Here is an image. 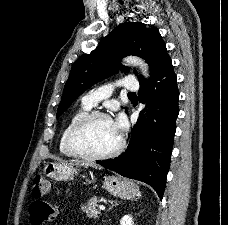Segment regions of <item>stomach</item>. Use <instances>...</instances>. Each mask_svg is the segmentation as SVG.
<instances>
[{
	"instance_id": "0dacf381",
	"label": "stomach",
	"mask_w": 228,
	"mask_h": 225,
	"mask_svg": "<svg viewBox=\"0 0 228 225\" xmlns=\"http://www.w3.org/2000/svg\"><path fill=\"white\" fill-rule=\"evenodd\" d=\"M44 175L53 181H67L69 177L77 175L78 169L65 163H47L43 169ZM103 187L114 197L119 199H134L140 191L133 181H123L121 177H104Z\"/></svg>"
}]
</instances>
